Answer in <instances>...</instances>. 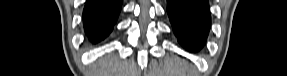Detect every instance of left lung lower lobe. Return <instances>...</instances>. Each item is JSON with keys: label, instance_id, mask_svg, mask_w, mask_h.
I'll return each mask as SVG.
<instances>
[{"label": "left lung lower lobe", "instance_id": "left-lung-lower-lobe-1", "mask_svg": "<svg viewBox=\"0 0 287 76\" xmlns=\"http://www.w3.org/2000/svg\"><path fill=\"white\" fill-rule=\"evenodd\" d=\"M167 13L179 43L188 51L200 50L211 22L208 0H167Z\"/></svg>", "mask_w": 287, "mask_h": 76}]
</instances>
